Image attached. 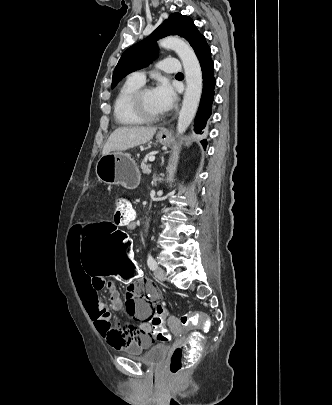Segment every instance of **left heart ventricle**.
<instances>
[{
    "label": "left heart ventricle",
    "instance_id": "obj_1",
    "mask_svg": "<svg viewBox=\"0 0 332 405\" xmlns=\"http://www.w3.org/2000/svg\"><path fill=\"white\" fill-rule=\"evenodd\" d=\"M143 101H144V106L149 114L155 115V116H159V115L163 114L164 111H162V109L158 105L153 90H149L145 93Z\"/></svg>",
    "mask_w": 332,
    "mask_h": 405
}]
</instances>
